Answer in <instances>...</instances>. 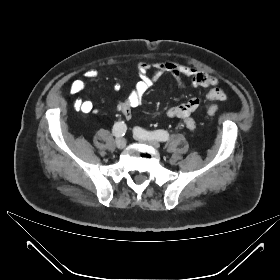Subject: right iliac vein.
I'll list each match as a JSON object with an SVG mask.
<instances>
[{"label": "right iliac vein", "mask_w": 280, "mask_h": 280, "mask_svg": "<svg viewBox=\"0 0 280 280\" xmlns=\"http://www.w3.org/2000/svg\"><path fill=\"white\" fill-rule=\"evenodd\" d=\"M116 146L118 149H124L126 146V140L125 138H119L116 141Z\"/></svg>", "instance_id": "1"}]
</instances>
